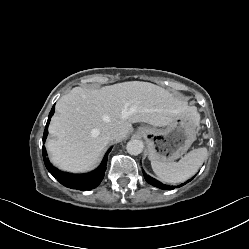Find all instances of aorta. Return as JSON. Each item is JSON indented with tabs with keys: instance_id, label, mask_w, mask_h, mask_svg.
<instances>
[{
	"instance_id": "aorta-1",
	"label": "aorta",
	"mask_w": 249,
	"mask_h": 249,
	"mask_svg": "<svg viewBox=\"0 0 249 249\" xmlns=\"http://www.w3.org/2000/svg\"><path fill=\"white\" fill-rule=\"evenodd\" d=\"M144 149V144L141 140H130L127 143L126 150L130 155H138Z\"/></svg>"
}]
</instances>
